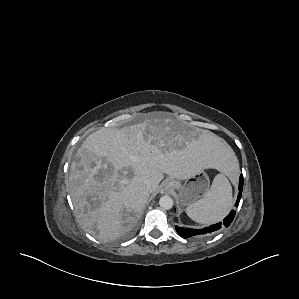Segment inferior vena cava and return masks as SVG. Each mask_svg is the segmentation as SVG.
Wrapping results in <instances>:
<instances>
[{"mask_svg": "<svg viewBox=\"0 0 299 299\" xmlns=\"http://www.w3.org/2000/svg\"><path fill=\"white\" fill-rule=\"evenodd\" d=\"M145 187L148 191H151V183L149 181L145 182Z\"/></svg>", "mask_w": 299, "mask_h": 299, "instance_id": "obj_1", "label": "inferior vena cava"}]
</instances>
